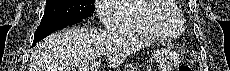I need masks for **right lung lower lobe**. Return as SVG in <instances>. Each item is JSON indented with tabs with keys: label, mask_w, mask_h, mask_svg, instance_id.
<instances>
[{
	"label": "right lung lower lobe",
	"mask_w": 230,
	"mask_h": 71,
	"mask_svg": "<svg viewBox=\"0 0 230 71\" xmlns=\"http://www.w3.org/2000/svg\"><path fill=\"white\" fill-rule=\"evenodd\" d=\"M81 21L82 19H72V20H64V21L55 22V23L40 24V26L35 31L34 41H33L32 46H34L38 41L48 36L50 33L63 29L64 27L68 25L79 23Z\"/></svg>",
	"instance_id": "obj_1"
}]
</instances>
